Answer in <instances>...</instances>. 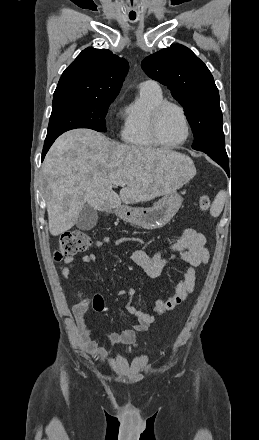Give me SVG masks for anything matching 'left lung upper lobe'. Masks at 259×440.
Masks as SVG:
<instances>
[{
  "instance_id": "obj_1",
  "label": "left lung upper lobe",
  "mask_w": 259,
  "mask_h": 440,
  "mask_svg": "<svg viewBox=\"0 0 259 440\" xmlns=\"http://www.w3.org/2000/svg\"><path fill=\"white\" fill-rule=\"evenodd\" d=\"M146 74L166 85L183 106L195 150H225L219 92L206 65L187 47L174 44L142 61Z\"/></svg>"
}]
</instances>
